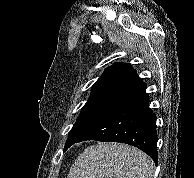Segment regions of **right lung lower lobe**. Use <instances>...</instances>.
I'll list each match as a JSON object with an SVG mask.
<instances>
[{"label":"right lung lower lobe","mask_w":194,"mask_h":178,"mask_svg":"<svg viewBox=\"0 0 194 178\" xmlns=\"http://www.w3.org/2000/svg\"><path fill=\"white\" fill-rule=\"evenodd\" d=\"M86 140L121 142L135 146L157 164L156 117L149 108V97L146 95L123 104L76 142Z\"/></svg>","instance_id":"right-lung-lower-lobe-1"}]
</instances>
